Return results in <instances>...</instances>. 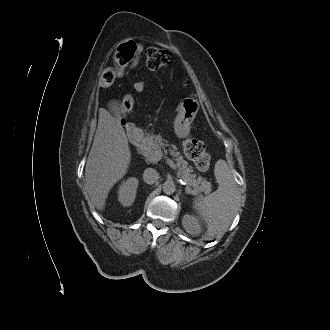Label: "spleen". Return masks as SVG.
<instances>
[{"mask_svg":"<svg viewBox=\"0 0 330 330\" xmlns=\"http://www.w3.org/2000/svg\"><path fill=\"white\" fill-rule=\"evenodd\" d=\"M214 174L218 189L194 199L193 208L199 213L207 227V236H214L230 225L238 210L239 191L233 172L225 160L215 163Z\"/></svg>","mask_w":330,"mask_h":330,"instance_id":"3e777b00","label":"spleen"}]
</instances>
